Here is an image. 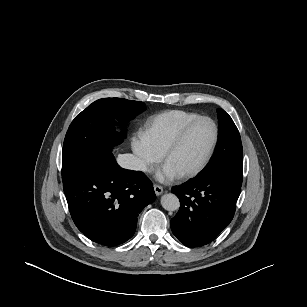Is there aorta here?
<instances>
[{
  "instance_id": "762f6f07",
  "label": "aorta",
  "mask_w": 307,
  "mask_h": 307,
  "mask_svg": "<svg viewBox=\"0 0 307 307\" xmlns=\"http://www.w3.org/2000/svg\"><path fill=\"white\" fill-rule=\"evenodd\" d=\"M161 205L167 211H176L180 208V201L175 194L168 193L161 197Z\"/></svg>"
}]
</instances>
